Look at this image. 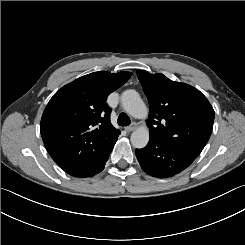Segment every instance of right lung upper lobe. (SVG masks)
I'll return each mask as SVG.
<instances>
[{"label":"right lung upper lobe","mask_w":245,"mask_h":245,"mask_svg":"<svg viewBox=\"0 0 245 245\" xmlns=\"http://www.w3.org/2000/svg\"><path fill=\"white\" fill-rule=\"evenodd\" d=\"M131 75L126 71L94 72L65 85L50 99L40 132L48 153L68 174L114 146L120 130L110 123L106 100Z\"/></svg>","instance_id":"obj_1"}]
</instances>
